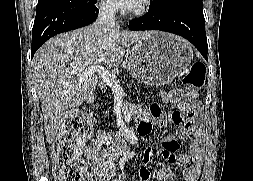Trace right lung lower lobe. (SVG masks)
I'll return each instance as SVG.
<instances>
[{
    "label": "right lung lower lobe",
    "instance_id": "right-lung-lower-lobe-1",
    "mask_svg": "<svg viewBox=\"0 0 253 181\" xmlns=\"http://www.w3.org/2000/svg\"><path fill=\"white\" fill-rule=\"evenodd\" d=\"M98 12L96 0H50L37 5L31 58L49 38L93 23Z\"/></svg>",
    "mask_w": 253,
    "mask_h": 181
}]
</instances>
